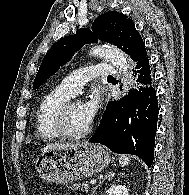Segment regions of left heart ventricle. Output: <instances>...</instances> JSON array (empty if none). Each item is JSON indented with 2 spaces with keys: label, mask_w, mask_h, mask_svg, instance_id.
Returning a JSON list of instances; mask_svg holds the SVG:
<instances>
[{
  "label": "left heart ventricle",
  "mask_w": 189,
  "mask_h": 195,
  "mask_svg": "<svg viewBox=\"0 0 189 195\" xmlns=\"http://www.w3.org/2000/svg\"><path fill=\"white\" fill-rule=\"evenodd\" d=\"M68 127L71 132L79 133L88 127L90 121L87 119L82 104L76 103L68 114Z\"/></svg>",
  "instance_id": "b2bd125f"
}]
</instances>
